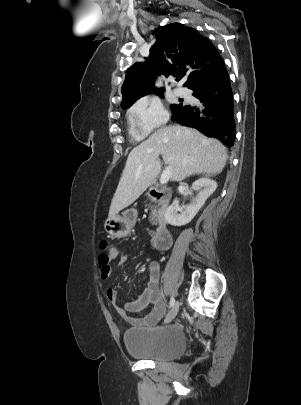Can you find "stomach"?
Masks as SVG:
<instances>
[{"mask_svg":"<svg viewBox=\"0 0 301 405\" xmlns=\"http://www.w3.org/2000/svg\"><path fill=\"white\" fill-rule=\"evenodd\" d=\"M136 219L135 211H127L122 215H116L114 218H108L105 221L104 229L114 238L126 237L134 225Z\"/></svg>","mask_w":301,"mask_h":405,"instance_id":"obj_1","label":"stomach"}]
</instances>
